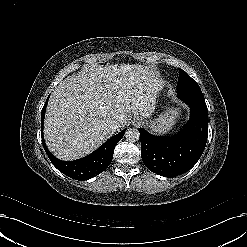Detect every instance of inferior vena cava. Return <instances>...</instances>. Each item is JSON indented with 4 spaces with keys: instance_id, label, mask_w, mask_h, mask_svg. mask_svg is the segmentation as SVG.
Listing matches in <instances>:
<instances>
[{
    "instance_id": "obj_1",
    "label": "inferior vena cava",
    "mask_w": 247,
    "mask_h": 247,
    "mask_svg": "<svg viewBox=\"0 0 247 247\" xmlns=\"http://www.w3.org/2000/svg\"><path fill=\"white\" fill-rule=\"evenodd\" d=\"M106 127L111 131H116L119 128V123L117 121H110L106 124Z\"/></svg>"
}]
</instances>
